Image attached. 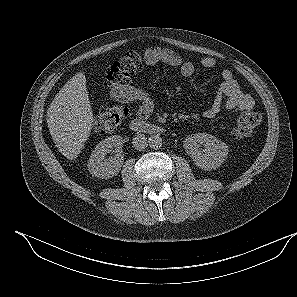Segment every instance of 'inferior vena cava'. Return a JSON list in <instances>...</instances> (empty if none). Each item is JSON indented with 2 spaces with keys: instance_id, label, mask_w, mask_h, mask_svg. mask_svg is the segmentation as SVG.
I'll return each mask as SVG.
<instances>
[{
  "instance_id": "inferior-vena-cava-1",
  "label": "inferior vena cava",
  "mask_w": 297,
  "mask_h": 297,
  "mask_svg": "<svg viewBox=\"0 0 297 297\" xmlns=\"http://www.w3.org/2000/svg\"><path fill=\"white\" fill-rule=\"evenodd\" d=\"M132 143L136 150H144L148 145L147 137L144 134H137L134 136Z\"/></svg>"
}]
</instances>
